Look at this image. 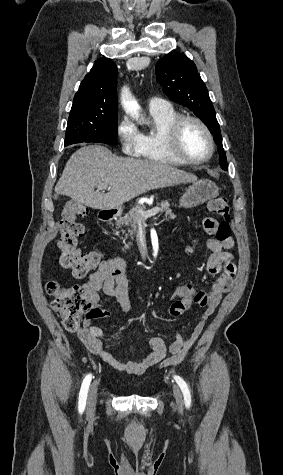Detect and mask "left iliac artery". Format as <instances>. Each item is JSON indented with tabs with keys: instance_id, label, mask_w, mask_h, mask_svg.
<instances>
[{
	"instance_id": "obj_1",
	"label": "left iliac artery",
	"mask_w": 283,
	"mask_h": 475,
	"mask_svg": "<svg viewBox=\"0 0 283 475\" xmlns=\"http://www.w3.org/2000/svg\"><path fill=\"white\" fill-rule=\"evenodd\" d=\"M174 379L175 381L177 382V384L179 385L183 395H184V401H185V405L186 407H190L191 405V395H190V391H189V388L186 384V382L179 376H174Z\"/></svg>"
}]
</instances>
